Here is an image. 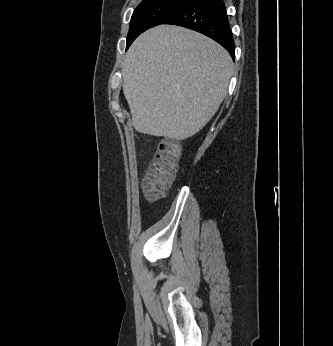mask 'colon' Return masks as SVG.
Masks as SVG:
<instances>
[{
    "instance_id": "1",
    "label": "colon",
    "mask_w": 333,
    "mask_h": 346,
    "mask_svg": "<svg viewBox=\"0 0 333 346\" xmlns=\"http://www.w3.org/2000/svg\"><path fill=\"white\" fill-rule=\"evenodd\" d=\"M180 145L170 139L162 140L143 175V190L146 199L156 201L169 188L181 157Z\"/></svg>"
}]
</instances>
